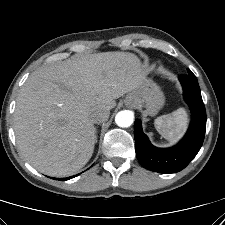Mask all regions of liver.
<instances>
[{
    "mask_svg": "<svg viewBox=\"0 0 225 225\" xmlns=\"http://www.w3.org/2000/svg\"><path fill=\"white\" fill-rule=\"evenodd\" d=\"M138 57L102 52L34 71L22 86L14 112L19 150L36 170L65 177L92 157L96 128L92 113L112 109L115 99L147 85Z\"/></svg>",
    "mask_w": 225,
    "mask_h": 225,
    "instance_id": "6515ba94",
    "label": "liver"
}]
</instances>
